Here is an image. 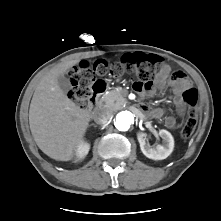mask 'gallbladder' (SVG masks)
I'll return each mask as SVG.
<instances>
[{"instance_id":"bac80fb5","label":"gallbladder","mask_w":221,"mask_h":221,"mask_svg":"<svg viewBox=\"0 0 221 221\" xmlns=\"http://www.w3.org/2000/svg\"><path fill=\"white\" fill-rule=\"evenodd\" d=\"M58 85L61 88V90L65 93H67L70 89H71V82L70 80L64 76V75H60L58 77Z\"/></svg>"}]
</instances>
